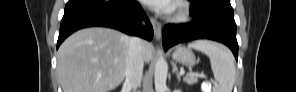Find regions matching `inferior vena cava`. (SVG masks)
Instances as JSON below:
<instances>
[{"mask_svg": "<svg viewBox=\"0 0 296 92\" xmlns=\"http://www.w3.org/2000/svg\"><path fill=\"white\" fill-rule=\"evenodd\" d=\"M143 41L139 37H130L129 51L126 59L125 83L133 90L141 85L144 58L142 53Z\"/></svg>", "mask_w": 296, "mask_h": 92, "instance_id": "obj_1", "label": "inferior vena cava"}]
</instances>
